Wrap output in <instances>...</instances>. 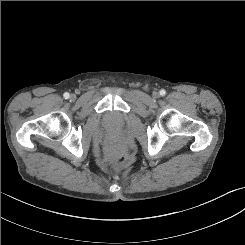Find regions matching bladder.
Here are the masks:
<instances>
[{"instance_id":"1","label":"bladder","mask_w":245,"mask_h":245,"mask_svg":"<svg viewBox=\"0 0 245 245\" xmlns=\"http://www.w3.org/2000/svg\"><path fill=\"white\" fill-rule=\"evenodd\" d=\"M106 122L112 126H121L124 123V120L120 115L111 114L107 117Z\"/></svg>"}]
</instances>
